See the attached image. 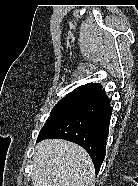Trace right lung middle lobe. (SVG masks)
Here are the masks:
<instances>
[{"instance_id":"dd1d6c3e","label":"right lung middle lobe","mask_w":138,"mask_h":186,"mask_svg":"<svg viewBox=\"0 0 138 186\" xmlns=\"http://www.w3.org/2000/svg\"><path fill=\"white\" fill-rule=\"evenodd\" d=\"M92 96V91L78 88L67 94L55 105L51 111L50 116L39 133L38 139L48 133L54 126H56L68 115L88 103Z\"/></svg>"}]
</instances>
